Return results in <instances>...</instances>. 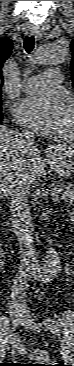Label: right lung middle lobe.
I'll return each mask as SVG.
<instances>
[{"label":"right lung middle lobe","mask_w":74,"mask_h":366,"mask_svg":"<svg viewBox=\"0 0 74 366\" xmlns=\"http://www.w3.org/2000/svg\"><path fill=\"white\" fill-rule=\"evenodd\" d=\"M0 99H1V95H0ZM0 113H1V107H0Z\"/></svg>","instance_id":"right-lung-middle-lobe-1"}]
</instances>
